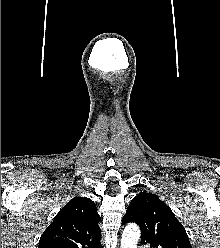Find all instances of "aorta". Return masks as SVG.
Listing matches in <instances>:
<instances>
[{"instance_id": "obj_1", "label": "aorta", "mask_w": 220, "mask_h": 248, "mask_svg": "<svg viewBox=\"0 0 220 248\" xmlns=\"http://www.w3.org/2000/svg\"><path fill=\"white\" fill-rule=\"evenodd\" d=\"M140 235V229L136 224L127 225L122 234L121 248H137Z\"/></svg>"}]
</instances>
